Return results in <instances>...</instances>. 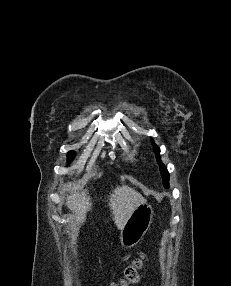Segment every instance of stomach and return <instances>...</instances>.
<instances>
[{"label":"stomach","mask_w":231,"mask_h":286,"mask_svg":"<svg viewBox=\"0 0 231 286\" xmlns=\"http://www.w3.org/2000/svg\"><path fill=\"white\" fill-rule=\"evenodd\" d=\"M153 219L151 205L140 204L122 228L119 240L122 247L131 248L141 241Z\"/></svg>","instance_id":"stomach-1"}]
</instances>
